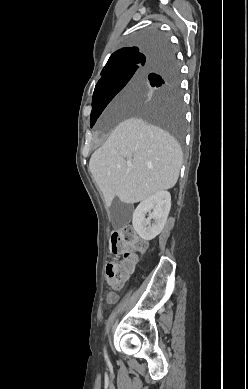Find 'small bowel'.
Masks as SVG:
<instances>
[{
	"label": "small bowel",
	"instance_id": "c3829d8e",
	"mask_svg": "<svg viewBox=\"0 0 248 389\" xmlns=\"http://www.w3.org/2000/svg\"><path fill=\"white\" fill-rule=\"evenodd\" d=\"M118 300V295L114 292H110L108 295H107V302L109 304H114L116 303Z\"/></svg>",
	"mask_w": 248,
	"mask_h": 389
}]
</instances>
